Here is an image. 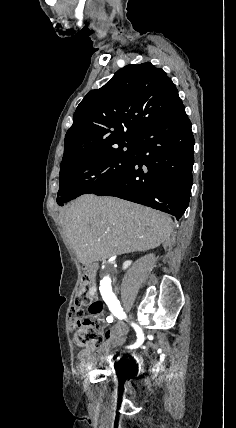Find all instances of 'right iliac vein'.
<instances>
[{"label": "right iliac vein", "mask_w": 236, "mask_h": 428, "mask_svg": "<svg viewBox=\"0 0 236 428\" xmlns=\"http://www.w3.org/2000/svg\"><path fill=\"white\" fill-rule=\"evenodd\" d=\"M128 341V340H127ZM110 344L112 343L113 345V347L114 346H121V344H126V338L125 337H122L120 340L119 339H115V340H113L112 342L110 341L109 342Z\"/></svg>", "instance_id": "1"}]
</instances>
